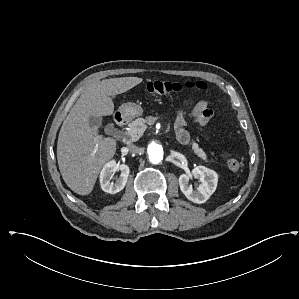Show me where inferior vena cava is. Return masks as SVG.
<instances>
[{
  "label": "inferior vena cava",
  "mask_w": 299,
  "mask_h": 299,
  "mask_svg": "<svg viewBox=\"0 0 299 299\" xmlns=\"http://www.w3.org/2000/svg\"><path fill=\"white\" fill-rule=\"evenodd\" d=\"M128 149L131 153H135V154H138V153H141L142 152V148L140 147H137L136 145H133V144H130L128 146Z\"/></svg>",
  "instance_id": "inferior-vena-cava-1"
}]
</instances>
